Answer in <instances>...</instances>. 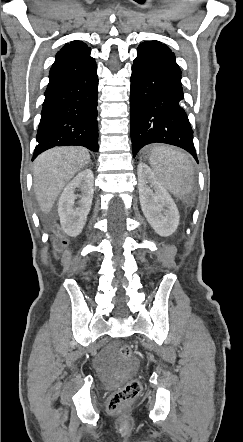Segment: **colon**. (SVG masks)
I'll list each match as a JSON object with an SVG mask.
<instances>
[{
	"label": "colon",
	"instance_id": "5ec220e1",
	"mask_svg": "<svg viewBox=\"0 0 243 442\" xmlns=\"http://www.w3.org/2000/svg\"><path fill=\"white\" fill-rule=\"evenodd\" d=\"M65 241L61 236L55 238V249L59 250L64 245ZM133 354L132 347L128 344H123L119 349V357L122 360L129 359ZM141 390V383L137 379L129 380L124 386L118 388L109 398L107 403L108 411L111 413L119 412L128 403L133 401Z\"/></svg>",
	"mask_w": 243,
	"mask_h": 442
}]
</instances>
